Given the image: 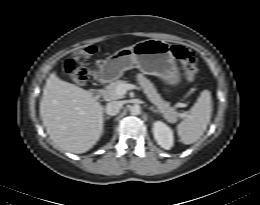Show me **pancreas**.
<instances>
[{"instance_id": "obj_1", "label": "pancreas", "mask_w": 260, "mask_h": 205, "mask_svg": "<svg viewBox=\"0 0 260 205\" xmlns=\"http://www.w3.org/2000/svg\"><path fill=\"white\" fill-rule=\"evenodd\" d=\"M136 80L143 89L149 101L156 106L158 111L163 114L164 118L168 122H176L178 117L176 109L174 107H171L169 102H166L161 98L160 94L157 93L154 84L143 74H137ZM124 84H127V82L123 80H117L110 83L102 90V96L106 100H116L122 98V96L117 94L116 89L119 85Z\"/></svg>"}]
</instances>
